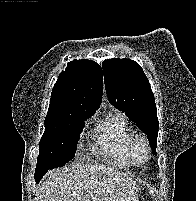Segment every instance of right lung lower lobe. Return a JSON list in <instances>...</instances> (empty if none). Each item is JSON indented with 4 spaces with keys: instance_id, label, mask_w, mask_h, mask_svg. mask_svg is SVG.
<instances>
[{
    "instance_id": "1",
    "label": "right lung lower lobe",
    "mask_w": 196,
    "mask_h": 201,
    "mask_svg": "<svg viewBox=\"0 0 196 201\" xmlns=\"http://www.w3.org/2000/svg\"><path fill=\"white\" fill-rule=\"evenodd\" d=\"M41 178H42V177H36V176H35V180H36V182L38 183V182L40 181Z\"/></svg>"
}]
</instances>
